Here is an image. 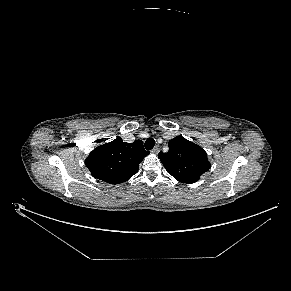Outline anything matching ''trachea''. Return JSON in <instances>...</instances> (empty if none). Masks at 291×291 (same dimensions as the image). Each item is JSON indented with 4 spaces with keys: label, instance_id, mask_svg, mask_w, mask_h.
<instances>
[{
    "label": "trachea",
    "instance_id": "1",
    "mask_svg": "<svg viewBox=\"0 0 291 291\" xmlns=\"http://www.w3.org/2000/svg\"><path fill=\"white\" fill-rule=\"evenodd\" d=\"M154 145H155V140L152 139V138L147 139L146 142H145V148L147 150L153 149Z\"/></svg>",
    "mask_w": 291,
    "mask_h": 291
}]
</instances>
